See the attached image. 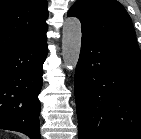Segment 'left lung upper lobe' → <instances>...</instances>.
<instances>
[{
  "label": "left lung upper lobe",
  "instance_id": "left-lung-upper-lobe-1",
  "mask_svg": "<svg viewBox=\"0 0 141 139\" xmlns=\"http://www.w3.org/2000/svg\"><path fill=\"white\" fill-rule=\"evenodd\" d=\"M68 16L80 19L84 34L139 48L131 18L116 0H77Z\"/></svg>",
  "mask_w": 141,
  "mask_h": 139
}]
</instances>
